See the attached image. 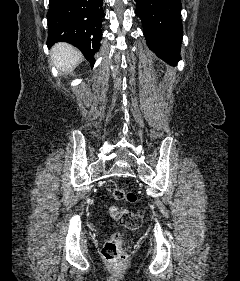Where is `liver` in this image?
<instances>
[{
    "label": "liver",
    "mask_w": 240,
    "mask_h": 281,
    "mask_svg": "<svg viewBox=\"0 0 240 281\" xmlns=\"http://www.w3.org/2000/svg\"><path fill=\"white\" fill-rule=\"evenodd\" d=\"M53 64L61 71H69L81 58V53L67 43H57L51 49Z\"/></svg>",
    "instance_id": "1"
}]
</instances>
